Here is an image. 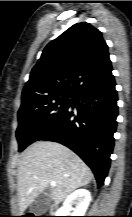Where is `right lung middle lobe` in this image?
I'll return each mask as SVG.
<instances>
[{
    "instance_id": "dd1d6c3e",
    "label": "right lung middle lobe",
    "mask_w": 132,
    "mask_h": 217,
    "mask_svg": "<svg viewBox=\"0 0 132 217\" xmlns=\"http://www.w3.org/2000/svg\"><path fill=\"white\" fill-rule=\"evenodd\" d=\"M73 99L74 94L67 92L22 98L16 131L19 152L38 141L66 111Z\"/></svg>"
}]
</instances>
